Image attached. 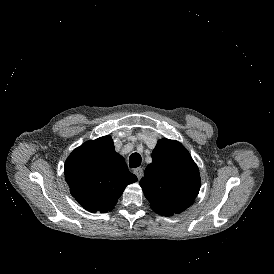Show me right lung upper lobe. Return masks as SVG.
<instances>
[{
	"mask_svg": "<svg viewBox=\"0 0 274 274\" xmlns=\"http://www.w3.org/2000/svg\"><path fill=\"white\" fill-rule=\"evenodd\" d=\"M64 171L72 196L92 213L112 210L126 186L137 181L124 158L115 151L111 136L76 148Z\"/></svg>",
	"mask_w": 274,
	"mask_h": 274,
	"instance_id": "obj_1",
	"label": "right lung upper lobe"
}]
</instances>
